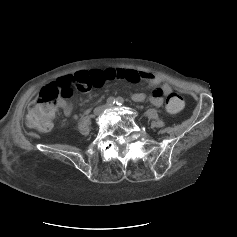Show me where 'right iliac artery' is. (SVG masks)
<instances>
[{
  "instance_id": "1",
  "label": "right iliac artery",
  "mask_w": 237,
  "mask_h": 237,
  "mask_svg": "<svg viewBox=\"0 0 237 237\" xmlns=\"http://www.w3.org/2000/svg\"><path fill=\"white\" fill-rule=\"evenodd\" d=\"M115 102H116V100H115V98H113V97H109V98L107 99V104H108L109 106H113V105L115 104Z\"/></svg>"
}]
</instances>
